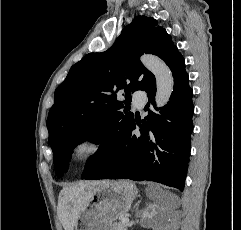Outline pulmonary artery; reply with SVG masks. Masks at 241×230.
Segmentation results:
<instances>
[{
  "label": "pulmonary artery",
  "mask_w": 241,
  "mask_h": 230,
  "mask_svg": "<svg viewBox=\"0 0 241 230\" xmlns=\"http://www.w3.org/2000/svg\"><path fill=\"white\" fill-rule=\"evenodd\" d=\"M133 104L137 107H142L146 101V94L142 91L136 92L132 97Z\"/></svg>",
  "instance_id": "e3ab8cb5"
}]
</instances>
